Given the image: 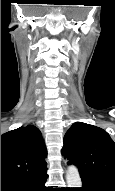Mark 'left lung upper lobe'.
I'll list each match as a JSON object with an SVG mask.
<instances>
[{"label": "left lung upper lobe", "mask_w": 115, "mask_h": 191, "mask_svg": "<svg viewBox=\"0 0 115 191\" xmlns=\"http://www.w3.org/2000/svg\"><path fill=\"white\" fill-rule=\"evenodd\" d=\"M62 154L78 167L82 179L100 182L115 191V143L102 128L77 122L64 137Z\"/></svg>", "instance_id": "5c2ea615"}]
</instances>
